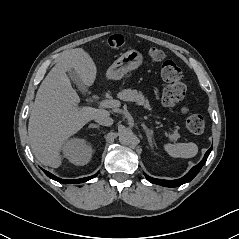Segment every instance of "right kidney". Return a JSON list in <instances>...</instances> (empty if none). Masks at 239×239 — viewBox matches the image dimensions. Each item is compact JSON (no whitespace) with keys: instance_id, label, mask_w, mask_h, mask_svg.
Wrapping results in <instances>:
<instances>
[{"instance_id":"obj_1","label":"right kidney","mask_w":239,"mask_h":239,"mask_svg":"<svg viewBox=\"0 0 239 239\" xmlns=\"http://www.w3.org/2000/svg\"><path fill=\"white\" fill-rule=\"evenodd\" d=\"M64 157L75 165L87 164L92 156V147L85 139L71 138L62 147Z\"/></svg>"}]
</instances>
